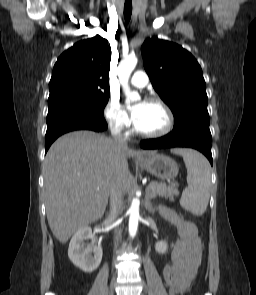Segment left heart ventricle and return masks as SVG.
<instances>
[{
	"label": "left heart ventricle",
	"instance_id": "1",
	"mask_svg": "<svg viewBox=\"0 0 256 295\" xmlns=\"http://www.w3.org/2000/svg\"><path fill=\"white\" fill-rule=\"evenodd\" d=\"M166 123L163 110L154 104H145L143 113L136 127L143 132H155L161 130Z\"/></svg>",
	"mask_w": 256,
	"mask_h": 295
}]
</instances>
